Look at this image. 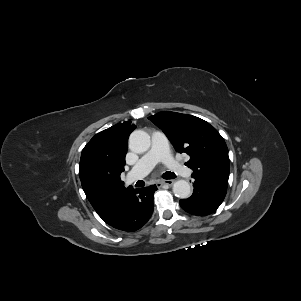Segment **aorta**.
<instances>
[{
  "instance_id": "762f6f07",
  "label": "aorta",
  "mask_w": 301,
  "mask_h": 301,
  "mask_svg": "<svg viewBox=\"0 0 301 301\" xmlns=\"http://www.w3.org/2000/svg\"><path fill=\"white\" fill-rule=\"evenodd\" d=\"M151 145L150 136L143 130H135L129 137V147L136 153L146 152ZM173 193L176 197L186 199L191 195V187L185 180H178L173 184Z\"/></svg>"
}]
</instances>
